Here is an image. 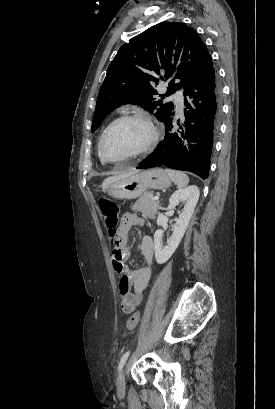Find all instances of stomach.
Instances as JSON below:
<instances>
[{
	"label": "stomach",
	"instance_id": "0dacf381",
	"mask_svg": "<svg viewBox=\"0 0 275 409\" xmlns=\"http://www.w3.org/2000/svg\"><path fill=\"white\" fill-rule=\"evenodd\" d=\"M171 180L163 168H148L108 184L106 190L114 198H137L148 188H167Z\"/></svg>",
	"mask_w": 275,
	"mask_h": 409
}]
</instances>
